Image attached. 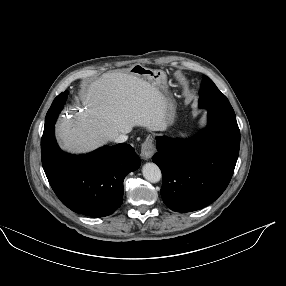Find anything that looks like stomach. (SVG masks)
I'll use <instances>...</instances> for the list:
<instances>
[{
  "label": "stomach",
  "mask_w": 286,
  "mask_h": 286,
  "mask_svg": "<svg viewBox=\"0 0 286 286\" xmlns=\"http://www.w3.org/2000/svg\"><path fill=\"white\" fill-rule=\"evenodd\" d=\"M129 72L139 78L145 79L156 86L161 87L167 93V76L162 70H155L135 64ZM167 105V125L173 123L175 119V102L168 96H164Z\"/></svg>",
  "instance_id": "1"
}]
</instances>
